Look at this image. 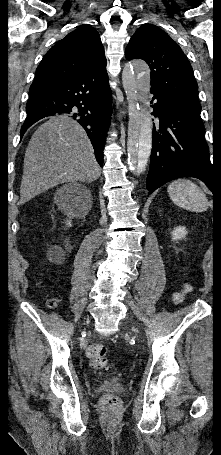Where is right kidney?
Instances as JSON below:
<instances>
[{
  "instance_id": "1",
  "label": "right kidney",
  "mask_w": 221,
  "mask_h": 455,
  "mask_svg": "<svg viewBox=\"0 0 221 455\" xmlns=\"http://www.w3.org/2000/svg\"><path fill=\"white\" fill-rule=\"evenodd\" d=\"M67 226L71 227V221H68L67 220ZM49 256L52 257V258H55V259H60L64 254L62 252V249L59 248V247H52L49 249V252H48Z\"/></svg>"
}]
</instances>
